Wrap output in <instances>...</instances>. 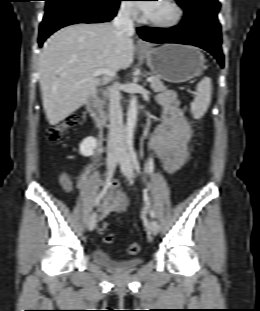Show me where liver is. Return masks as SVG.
<instances>
[{"label": "liver", "mask_w": 260, "mask_h": 311, "mask_svg": "<svg viewBox=\"0 0 260 311\" xmlns=\"http://www.w3.org/2000/svg\"><path fill=\"white\" fill-rule=\"evenodd\" d=\"M131 33L109 23H79L54 33L39 56L43 108L50 125L63 121L84 105L100 79L96 69L128 68L134 58Z\"/></svg>", "instance_id": "liver-1"}]
</instances>
